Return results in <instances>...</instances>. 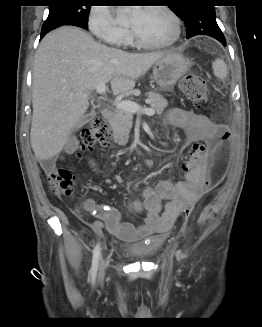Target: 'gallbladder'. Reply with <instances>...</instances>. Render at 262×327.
I'll return each mask as SVG.
<instances>
[{
    "instance_id": "1",
    "label": "gallbladder",
    "mask_w": 262,
    "mask_h": 327,
    "mask_svg": "<svg viewBox=\"0 0 262 327\" xmlns=\"http://www.w3.org/2000/svg\"><path fill=\"white\" fill-rule=\"evenodd\" d=\"M92 118V114L91 113H87L84 114L79 121L77 122V124L75 125L76 128H80L81 126H83L84 124L88 123Z\"/></svg>"
}]
</instances>
